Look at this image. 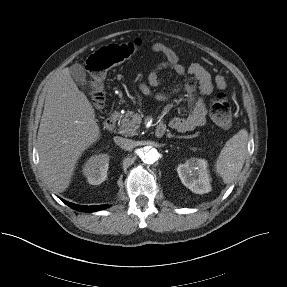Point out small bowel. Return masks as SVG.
<instances>
[{"instance_id": "c3829d8e", "label": "small bowel", "mask_w": 287, "mask_h": 287, "mask_svg": "<svg viewBox=\"0 0 287 287\" xmlns=\"http://www.w3.org/2000/svg\"><path fill=\"white\" fill-rule=\"evenodd\" d=\"M152 51L160 53L165 60L160 62L148 75L147 82L139 83L140 91L151 96L157 101H166L180 90L184 89L188 94L189 111L185 117H173L169 126L179 132L192 131L205 124L206 104L205 97L208 96L216 86L220 90L227 87L226 79L222 75L212 78L209 71L199 63L184 66L180 62L178 54L169 46L157 42L152 45ZM168 70L178 76H188V79L174 87L168 93H154L152 87L161 85L163 79L160 72Z\"/></svg>"}]
</instances>
